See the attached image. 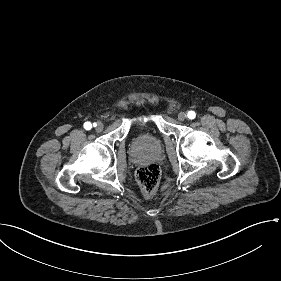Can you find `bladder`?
Instances as JSON below:
<instances>
[{
    "label": "bladder",
    "mask_w": 281,
    "mask_h": 281,
    "mask_svg": "<svg viewBox=\"0 0 281 281\" xmlns=\"http://www.w3.org/2000/svg\"><path fill=\"white\" fill-rule=\"evenodd\" d=\"M155 115L148 108H140L131 115V127L133 131L141 132L147 128H153L155 123Z\"/></svg>",
    "instance_id": "31cf9c89"
}]
</instances>
